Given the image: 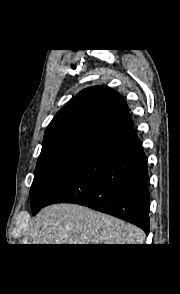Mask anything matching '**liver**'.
Returning <instances> with one entry per match:
<instances>
[{"mask_svg": "<svg viewBox=\"0 0 180 294\" xmlns=\"http://www.w3.org/2000/svg\"><path fill=\"white\" fill-rule=\"evenodd\" d=\"M145 233L110 215L76 204H55L32 220L22 244H143Z\"/></svg>", "mask_w": 180, "mask_h": 294, "instance_id": "1", "label": "liver"}]
</instances>
